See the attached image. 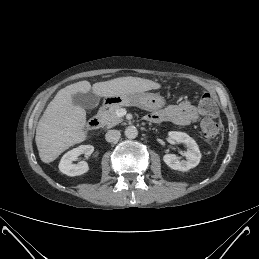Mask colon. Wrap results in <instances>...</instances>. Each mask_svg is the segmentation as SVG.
<instances>
[{"mask_svg": "<svg viewBox=\"0 0 259 259\" xmlns=\"http://www.w3.org/2000/svg\"><path fill=\"white\" fill-rule=\"evenodd\" d=\"M200 105L206 115L201 121V133L204 138L213 139L220 130V123L216 119L218 113L216 103L210 94L205 93L202 95Z\"/></svg>", "mask_w": 259, "mask_h": 259, "instance_id": "obj_1", "label": "colon"}]
</instances>
